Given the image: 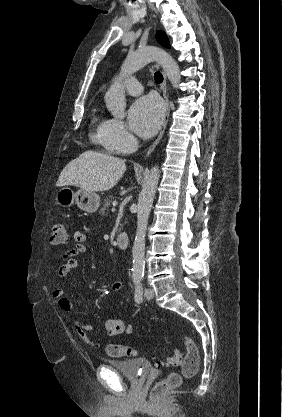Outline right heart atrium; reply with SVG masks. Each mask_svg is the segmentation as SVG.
I'll list each match as a JSON object with an SVG mask.
<instances>
[{
    "label": "right heart atrium",
    "instance_id": "1",
    "mask_svg": "<svg viewBox=\"0 0 282 417\" xmlns=\"http://www.w3.org/2000/svg\"><path fill=\"white\" fill-rule=\"evenodd\" d=\"M110 144L113 150L121 153L130 152L134 147V137L119 119H113Z\"/></svg>",
    "mask_w": 282,
    "mask_h": 417
}]
</instances>
